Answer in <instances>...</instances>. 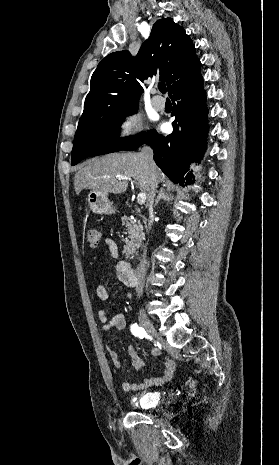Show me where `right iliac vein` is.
<instances>
[{
	"instance_id": "63e3f726",
	"label": "right iliac vein",
	"mask_w": 279,
	"mask_h": 465,
	"mask_svg": "<svg viewBox=\"0 0 279 465\" xmlns=\"http://www.w3.org/2000/svg\"><path fill=\"white\" fill-rule=\"evenodd\" d=\"M138 320H139V323L141 324V326L150 334L152 335H157V331L156 329L154 328L151 320L148 318V316L146 315V313L143 311V310H140L139 311V314H138Z\"/></svg>"
}]
</instances>
